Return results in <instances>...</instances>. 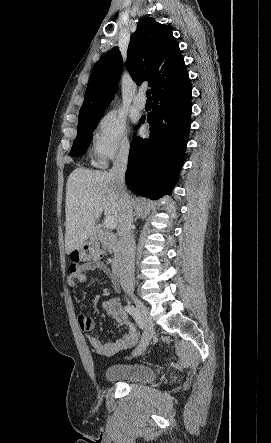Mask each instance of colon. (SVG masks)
Returning <instances> with one entry per match:
<instances>
[{"instance_id":"1","label":"colon","mask_w":271,"mask_h":443,"mask_svg":"<svg viewBox=\"0 0 271 443\" xmlns=\"http://www.w3.org/2000/svg\"><path fill=\"white\" fill-rule=\"evenodd\" d=\"M101 251L94 243H84L70 254L74 263H88L100 257Z\"/></svg>"}]
</instances>
